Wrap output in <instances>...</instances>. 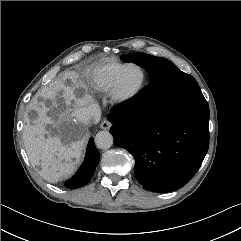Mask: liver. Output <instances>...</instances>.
<instances>
[{"mask_svg":"<svg viewBox=\"0 0 241 241\" xmlns=\"http://www.w3.org/2000/svg\"><path fill=\"white\" fill-rule=\"evenodd\" d=\"M70 78L75 84L77 76ZM78 87L65 85L62 80L50 83L48 91L41 93L44 99L39 102L35 98L30 104L36 117L26 116L24 120L23 138L29 160L40 167L39 174L51 183L73 173L86 143L82 110L93 100L88 94L78 95ZM49 126L57 131L54 136Z\"/></svg>","mask_w":241,"mask_h":241,"instance_id":"1","label":"liver"}]
</instances>
